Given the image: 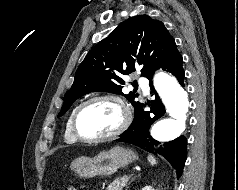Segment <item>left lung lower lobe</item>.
Masks as SVG:
<instances>
[{
  "label": "left lung lower lobe",
  "instance_id": "left-lung-lower-lobe-1",
  "mask_svg": "<svg viewBox=\"0 0 238 190\" xmlns=\"http://www.w3.org/2000/svg\"><path fill=\"white\" fill-rule=\"evenodd\" d=\"M160 68L172 73L179 83L184 86L182 56L178 50ZM148 79L150 80L151 89L157 94L152 87V76ZM145 107L146 104L140 103L135 108L132 124L116 141L133 144L150 153L162 155L177 170V175L180 177L186 161L187 140L184 136L164 143L153 139L149 133V128L165 114V107L157 95L155 101H152L150 105V111H145Z\"/></svg>",
  "mask_w": 238,
  "mask_h": 190
}]
</instances>
